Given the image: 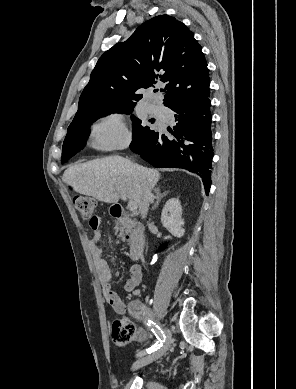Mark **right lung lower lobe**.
Segmentation results:
<instances>
[{"instance_id":"98d812e1","label":"right lung lower lobe","mask_w":296,"mask_h":389,"mask_svg":"<svg viewBox=\"0 0 296 389\" xmlns=\"http://www.w3.org/2000/svg\"><path fill=\"white\" fill-rule=\"evenodd\" d=\"M210 90L183 99L170 107L176 112L173 137L154 131L140 149H132L156 168H183L202 178L205 192L211 187L212 114Z\"/></svg>"}]
</instances>
